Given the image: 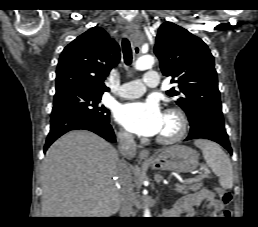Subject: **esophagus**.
Returning a JSON list of instances; mask_svg holds the SVG:
<instances>
[{"label":"esophagus","instance_id":"1","mask_svg":"<svg viewBox=\"0 0 258 227\" xmlns=\"http://www.w3.org/2000/svg\"><path fill=\"white\" fill-rule=\"evenodd\" d=\"M127 33L130 37V39L133 41L134 44V52L138 53L139 52V46H138V33L135 28L132 26H127ZM139 159L141 161H149L150 160V152L147 149H142L139 153Z\"/></svg>","mask_w":258,"mask_h":227}]
</instances>
